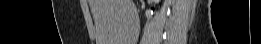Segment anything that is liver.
<instances>
[{
  "instance_id": "1",
  "label": "liver",
  "mask_w": 261,
  "mask_h": 44,
  "mask_svg": "<svg viewBox=\"0 0 261 44\" xmlns=\"http://www.w3.org/2000/svg\"><path fill=\"white\" fill-rule=\"evenodd\" d=\"M89 4L95 20L97 44L135 42L129 28L137 15L132 0H89Z\"/></svg>"
}]
</instances>
